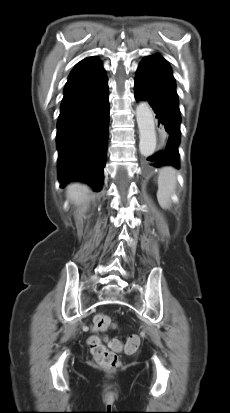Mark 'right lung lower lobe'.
<instances>
[{"label": "right lung lower lobe", "mask_w": 230, "mask_h": 413, "mask_svg": "<svg viewBox=\"0 0 230 413\" xmlns=\"http://www.w3.org/2000/svg\"><path fill=\"white\" fill-rule=\"evenodd\" d=\"M108 98L103 67L68 79L57 122L61 187L76 180L101 190L108 142Z\"/></svg>", "instance_id": "obj_1"}]
</instances>
